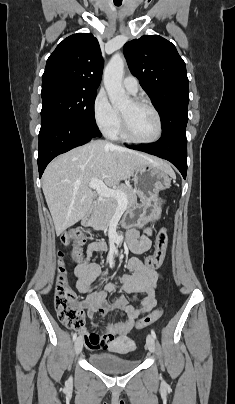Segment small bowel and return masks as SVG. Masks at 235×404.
<instances>
[{"label": "small bowel", "instance_id": "small-bowel-1", "mask_svg": "<svg viewBox=\"0 0 235 404\" xmlns=\"http://www.w3.org/2000/svg\"><path fill=\"white\" fill-rule=\"evenodd\" d=\"M152 228L146 227L142 232L132 229L127 235L130 249L135 253H143L151 246ZM106 249L103 241L91 242L87 247L86 260L77 264L74 274L77 278V290L86 295V299L79 302V305L92 318L94 314H106L110 311L120 310L126 314V319L122 322L107 324L104 328L105 335L98 332H88L85 328H80L85 346L90 350H105L111 347V343L102 344L104 337L110 341L116 338L117 346H124L128 343L127 334L134 326L136 319L151 311L157 301L155 292L162 275L157 270L147 268L142 261L131 258L127 262V269L131 272L123 276H110L114 281L108 282L102 289L93 290L98 279L104 276V272L99 265L90 262V258L95 252ZM121 289L125 292L143 294L144 298L138 307L129 304L124 295L119 296L113 302L106 299L107 293Z\"/></svg>", "mask_w": 235, "mask_h": 404}]
</instances>
